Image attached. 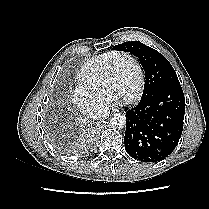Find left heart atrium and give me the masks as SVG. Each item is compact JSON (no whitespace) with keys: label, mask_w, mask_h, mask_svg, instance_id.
<instances>
[{"label":"left heart atrium","mask_w":209,"mask_h":209,"mask_svg":"<svg viewBox=\"0 0 209 209\" xmlns=\"http://www.w3.org/2000/svg\"><path fill=\"white\" fill-rule=\"evenodd\" d=\"M109 101H115L116 99L113 98H108Z\"/></svg>","instance_id":"left-heart-atrium-1"}]
</instances>
